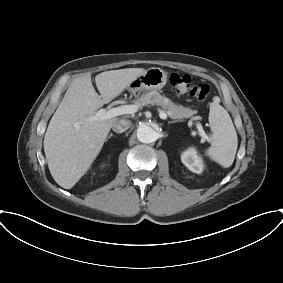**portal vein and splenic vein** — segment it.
I'll list each match as a JSON object with an SVG mask.
<instances>
[{
	"instance_id": "obj_1",
	"label": "portal vein and splenic vein",
	"mask_w": 283,
	"mask_h": 283,
	"mask_svg": "<svg viewBox=\"0 0 283 283\" xmlns=\"http://www.w3.org/2000/svg\"><path fill=\"white\" fill-rule=\"evenodd\" d=\"M139 105L137 104H130V105H123L118 106L112 109H100L96 112L94 116L91 117L92 120H108L120 115L125 114H134L138 111ZM159 116L161 119H167V114L163 110H159ZM197 130L199 132V135L203 140H208V136L203 130V127L200 122L196 124Z\"/></svg>"
}]
</instances>
